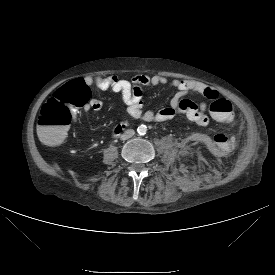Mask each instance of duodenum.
Here are the masks:
<instances>
[{
	"instance_id": "1",
	"label": "duodenum",
	"mask_w": 275,
	"mask_h": 275,
	"mask_svg": "<svg viewBox=\"0 0 275 275\" xmlns=\"http://www.w3.org/2000/svg\"><path fill=\"white\" fill-rule=\"evenodd\" d=\"M125 126H126L125 123L117 125L116 128H115V130H114V133L115 134H120L121 131L125 128Z\"/></svg>"
}]
</instances>
